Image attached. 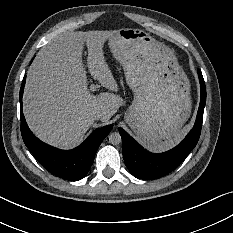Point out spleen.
<instances>
[{
    "label": "spleen",
    "instance_id": "spleen-1",
    "mask_svg": "<svg viewBox=\"0 0 233 233\" xmlns=\"http://www.w3.org/2000/svg\"><path fill=\"white\" fill-rule=\"evenodd\" d=\"M188 132H189V129H183L169 143H166L163 146L149 148L148 150H149V152H151L153 154H157V153H163V152H166V151H168L170 149H173L175 146H177L184 139V137L188 134Z\"/></svg>",
    "mask_w": 233,
    "mask_h": 233
}]
</instances>
